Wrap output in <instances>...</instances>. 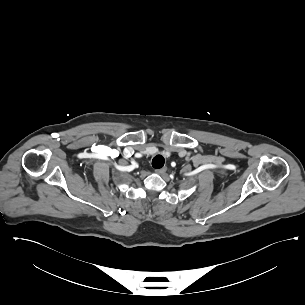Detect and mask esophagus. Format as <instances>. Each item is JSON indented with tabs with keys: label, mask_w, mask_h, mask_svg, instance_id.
Segmentation results:
<instances>
[{
	"label": "esophagus",
	"mask_w": 305,
	"mask_h": 305,
	"mask_svg": "<svg viewBox=\"0 0 305 305\" xmlns=\"http://www.w3.org/2000/svg\"><path fill=\"white\" fill-rule=\"evenodd\" d=\"M167 171V167H163L161 169H156L155 172L158 174H164Z\"/></svg>",
	"instance_id": "1"
}]
</instances>
